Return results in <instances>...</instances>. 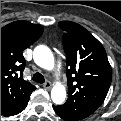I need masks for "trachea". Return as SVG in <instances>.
<instances>
[{
	"label": "trachea",
	"mask_w": 121,
	"mask_h": 121,
	"mask_svg": "<svg viewBox=\"0 0 121 121\" xmlns=\"http://www.w3.org/2000/svg\"><path fill=\"white\" fill-rule=\"evenodd\" d=\"M32 80L37 82V83H41V84L45 82L44 76L39 72H36L33 75Z\"/></svg>",
	"instance_id": "3493384b"
}]
</instances>
